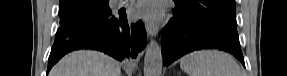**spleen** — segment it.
Returning a JSON list of instances; mask_svg holds the SVG:
<instances>
[{
    "mask_svg": "<svg viewBox=\"0 0 287 76\" xmlns=\"http://www.w3.org/2000/svg\"><path fill=\"white\" fill-rule=\"evenodd\" d=\"M180 67L189 76H242L241 68L234 58L217 50L189 53L181 59Z\"/></svg>",
    "mask_w": 287,
    "mask_h": 76,
    "instance_id": "1",
    "label": "spleen"
}]
</instances>
